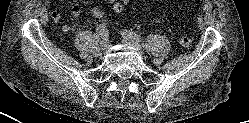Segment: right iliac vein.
<instances>
[{
  "label": "right iliac vein",
  "instance_id": "obj_1",
  "mask_svg": "<svg viewBox=\"0 0 249 123\" xmlns=\"http://www.w3.org/2000/svg\"><path fill=\"white\" fill-rule=\"evenodd\" d=\"M109 46H110V43H109L107 40H103V41L101 42V49H102V50L108 49Z\"/></svg>",
  "mask_w": 249,
  "mask_h": 123
}]
</instances>
